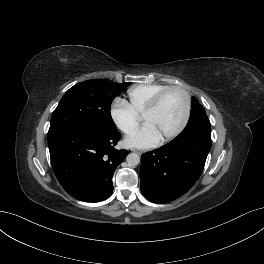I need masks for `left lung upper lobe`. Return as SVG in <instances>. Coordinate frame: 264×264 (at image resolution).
Here are the masks:
<instances>
[{
	"label": "left lung upper lobe",
	"mask_w": 264,
	"mask_h": 264,
	"mask_svg": "<svg viewBox=\"0 0 264 264\" xmlns=\"http://www.w3.org/2000/svg\"><path fill=\"white\" fill-rule=\"evenodd\" d=\"M200 119H205V122L210 124L203 106L199 104L198 100L195 97H192L191 114H190V119L188 123L191 124V123L199 121Z\"/></svg>",
	"instance_id": "left-lung-upper-lobe-1"
}]
</instances>
